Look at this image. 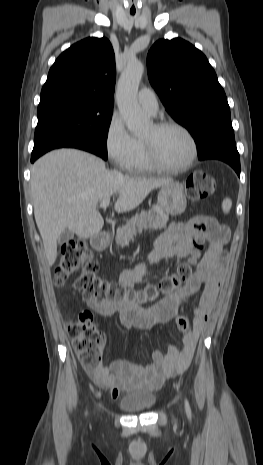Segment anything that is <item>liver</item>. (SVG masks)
I'll return each mask as SVG.
<instances>
[{
  "label": "liver",
  "mask_w": 263,
  "mask_h": 465,
  "mask_svg": "<svg viewBox=\"0 0 263 465\" xmlns=\"http://www.w3.org/2000/svg\"><path fill=\"white\" fill-rule=\"evenodd\" d=\"M170 178L123 175L106 169L100 158L75 149H59L38 159L31 169L34 216L46 258L52 266L57 240L65 229L79 237L99 234L104 220L97 205L118 196V213L138 207L155 188L172 183Z\"/></svg>",
  "instance_id": "liver-1"
}]
</instances>
